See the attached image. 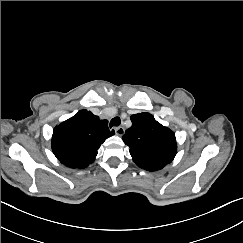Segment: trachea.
I'll return each instance as SVG.
<instances>
[{
    "instance_id": "trachea-1",
    "label": "trachea",
    "mask_w": 243,
    "mask_h": 243,
    "mask_svg": "<svg viewBox=\"0 0 243 243\" xmlns=\"http://www.w3.org/2000/svg\"><path fill=\"white\" fill-rule=\"evenodd\" d=\"M121 123V120L119 117H114L111 121H110V127L113 126H119Z\"/></svg>"
}]
</instances>
